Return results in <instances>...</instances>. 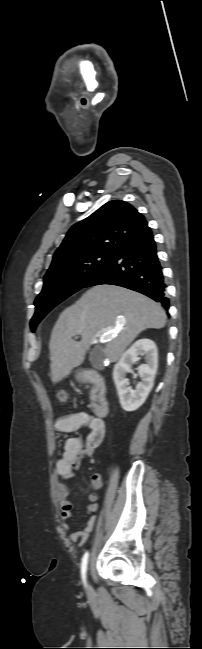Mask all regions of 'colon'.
<instances>
[{
  "mask_svg": "<svg viewBox=\"0 0 202 649\" xmlns=\"http://www.w3.org/2000/svg\"><path fill=\"white\" fill-rule=\"evenodd\" d=\"M55 397L59 404H66L69 400V392L65 389H60L56 392Z\"/></svg>",
  "mask_w": 202,
  "mask_h": 649,
  "instance_id": "1",
  "label": "colon"
}]
</instances>
